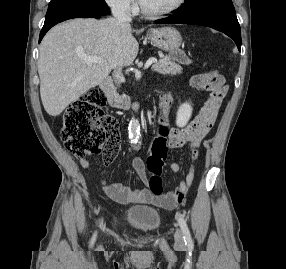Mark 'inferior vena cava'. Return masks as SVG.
I'll use <instances>...</instances> for the list:
<instances>
[{
	"label": "inferior vena cava",
	"mask_w": 286,
	"mask_h": 269,
	"mask_svg": "<svg viewBox=\"0 0 286 269\" xmlns=\"http://www.w3.org/2000/svg\"><path fill=\"white\" fill-rule=\"evenodd\" d=\"M112 14L114 16V18L120 22V23H130L131 22V17L129 15V13L124 10V9H120V8H115L112 10ZM113 77H114V81L115 83L120 86V84L123 82L124 80V77H123V74H122V71H121V68L119 69H116L114 71V74H113Z\"/></svg>",
	"instance_id": "obj_1"
}]
</instances>
